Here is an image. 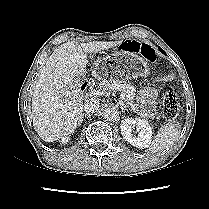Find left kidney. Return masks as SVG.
Here are the masks:
<instances>
[{
	"instance_id": "1",
	"label": "left kidney",
	"mask_w": 209,
	"mask_h": 209,
	"mask_svg": "<svg viewBox=\"0 0 209 209\" xmlns=\"http://www.w3.org/2000/svg\"><path fill=\"white\" fill-rule=\"evenodd\" d=\"M136 128L138 135H133L132 131ZM123 138L137 148H148L152 140V128L148 121L140 118H126L120 124Z\"/></svg>"
}]
</instances>
